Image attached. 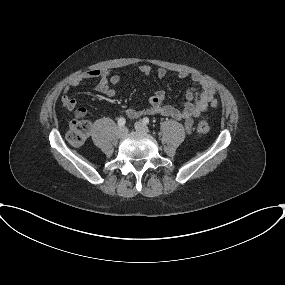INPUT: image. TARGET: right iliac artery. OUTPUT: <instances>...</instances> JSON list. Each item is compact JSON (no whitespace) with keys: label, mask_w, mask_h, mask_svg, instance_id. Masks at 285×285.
I'll return each mask as SVG.
<instances>
[{"label":"right iliac artery","mask_w":285,"mask_h":285,"mask_svg":"<svg viewBox=\"0 0 285 285\" xmlns=\"http://www.w3.org/2000/svg\"><path fill=\"white\" fill-rule=\"evenodd\" d=\"M125 123H126L125 118L121 117L118 119V126L119 127H124Z\"/></svg>","instance_id":"82829eb1"}]
</instances>
